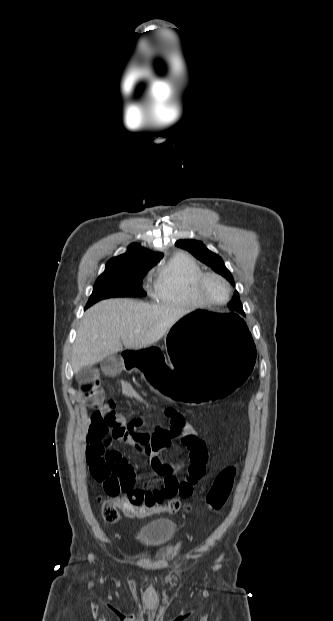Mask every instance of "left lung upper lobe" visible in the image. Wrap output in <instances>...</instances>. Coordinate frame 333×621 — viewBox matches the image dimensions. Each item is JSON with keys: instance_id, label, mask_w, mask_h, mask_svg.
Instances as JSON below:
<instances>
[{"instance_id": "obj_1", "label": "left lung upper lobe", "mask_w": 333, "mask_h": 621, "mask_svg": "<svg viewBox=\"0 0 333 621\" xmlns=\"http://www.w3.org/2000/svg\"><path fill=\"white\" fill-rule=\"evenodd\" d=\"M175 245L179 248L189 251L193 256L204 264L211 267L215 272L224 276L232 285H235L233 277L229 270L225 267L224 262L220 256L208 250L200 241L192 239L178 240ZM228 307L233 312H238L244 315L242 304L239 299L238 292L228 304Z\"/></svg>"}]
</instances>
